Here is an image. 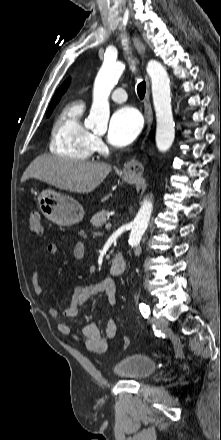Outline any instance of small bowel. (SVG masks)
Instances as JSON below:
<instances>
[{"label": "small bowel", "mask_w": 221, "mask_h": 440, "mask_svg": "<svg viewBox=\"0 0 221 440\" xmlns=\"http://www.w3.org/2000/svg\"><path fill=\"white\" fill-rule=\"evenodd\" d=\"M58 251V246L55 243L48 244L47 252L49 255L56 256ZM84 255L85 247L83 243H76L73 250L74 260L81 261ZM33 285L36 293L39 294L43 291L40 268H36L33 271ZM99 294L105 295L108 303L114 306L116 304L117 294L115 280L111 277H106L90 285L76 286L73 291V296L64 310V317H76L88 301ZM49 314L53 319L59 317V311L56 308H51ZM57 329L61 334L70 336L75 342L82 344L87 350L95 353H104L108 349L109 343L115 338L117 332L116 323L112 318L107 321L104 336H101L97 326L93 323L86 324L83 327L81 335L75 334L66 322H58Z\"/></svg>", "instance_id": "small-bowel-1"}]
</instances>
